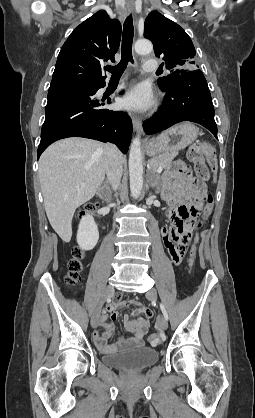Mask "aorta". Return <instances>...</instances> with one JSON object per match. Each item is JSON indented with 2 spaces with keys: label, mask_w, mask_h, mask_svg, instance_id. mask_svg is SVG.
I'll return each mask as SVG.
<instances>
[{
  "label": "aorta",
  "mask_w": 255,
  "mask_h": 418,
  "mask_svg": "<svg viewBox=\"0 0 255 418\" xmlns=\"http://www.w3.org/2000/svg\"><path fill=\"white\" fill-rule=\"evenodd\" d=\"M135 51L138 54H149L153 50L149 40H138L135 43ZM130 190L133 198H138L143 186V164L141 142L139 137L132 140L129 153Z\"/></svg>",
  "instance_id": "762f6f07"
}]
</instances>
